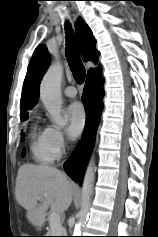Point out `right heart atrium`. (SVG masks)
<instances>
[{"instance_id": "obj_1", "label": "right heart atrium", "mask_w": 158, "mask_h": 237, "mask_svg": "<svg viewBox=\"0 0 158 237\" xmlns=\"http://www.w3.org/2000/svg\"><path fill=\"white\" fill-rule=\"evenodd\" d=\"M46 137L51 153L55 158L60 157L66 149V139L63 132L55 126H49L46 128Z\"/></svg>"}]
</instances>
